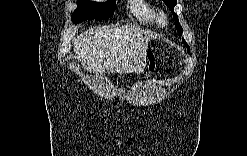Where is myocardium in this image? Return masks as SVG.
I'll return each mask as SVG.
<instances>
[{
	"label": "myocardium",
	"mask_w": 247,
	"mask_h": 156,
	"mask_svg": "<svg viewBox=\"0 0 247 156\" xmlns=\"http://www.w3.org/2000/svg\"><path fill=\"white\" fill-rule=\"evenodd\" d=\"M158 20H159L160 23L164 24V23H166V21H167V17H166L165 14L161 13V14L159 15V17H158Z\"/></svg>",
	"instance_id": "obj_1"
}]
</instances>
